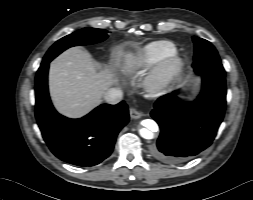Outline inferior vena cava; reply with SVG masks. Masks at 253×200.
<instances>
[{
	"instance_id": "602c4592",
	"label": "inferior vena cava",
	"mask_w": 253,
	"mask_h": 200,
	"mask_svg": "<svg viewBox=\"0 0 253 200\" xmlns=\"http://www.w3.org/2000/svg\"><path fill=\"white\" fill-rule=\"evenodd\" d=\"M104 100L109 104H117L123 98V92L119 88H110L104 94Z\"/></svg>"
}]
</instances>
